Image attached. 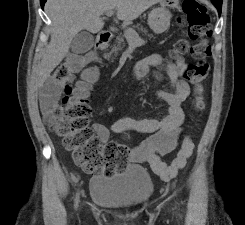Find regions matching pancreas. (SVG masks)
Wrapping results in <instances>:
<instances>
[{"mask_svg": "<svg viewBox=\"0 0 245 225\" xmlns=\"http://www.w3.org/2000/svg\"><path fill=\"white\" fill-rule=\"evenodd\" d=\"M141 31H143L142 28H140ZM149 37H152L148 35ZM125 47V42H124V36H118L116 38V44L112 47L111 51L107 53L105 56L107 59H110L111 56L114 54V56H117L118 52L123 50ZM113 59V58H112Z\"/></svg>", "mask_w": 245, "mask_h": 225, "instance_id": "1", "label": "pancreas"}]
</instances>
